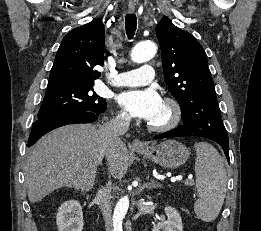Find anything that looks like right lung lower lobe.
Masks as SVG:
<instances>
[{
	"label": "right lung lower lobe",
	"instance_id": "obj_1",
	"mask_svg": "<svg viewBox=\"0 0 261 231\" xmlns=\"http://www.w3.org/2000/svg\"><path fill=\"white\" fill-rule=\"evenodd\" d=\"M106 110V109H105ZM105 110L102 111H75L59 114L49 118L37 120L34 122L28 139L27 147L32 146L36 141L51 130L77 123H90L98 119Z\"/></svg>",
	"mask_w": 261,
	"mask_h": 231
}]
</instances>
